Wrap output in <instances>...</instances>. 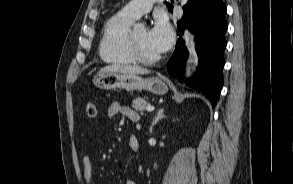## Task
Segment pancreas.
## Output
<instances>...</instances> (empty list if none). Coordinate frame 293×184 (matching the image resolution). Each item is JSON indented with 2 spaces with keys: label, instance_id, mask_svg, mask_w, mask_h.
I'll return each instance as SVG.
<instances>
[{
  "label": "pancreas",
  "instance_id": "1",
  "mask_svg": "<svg viewBox=\"0 0 293 184\" xmlns=\"http://www.w3.org/2000/svg\"><path fill=\"white\" fill-rule=\"evenodd\" d=\"M149 105L150 104L141 97L134 99L132 102V108L139 112L145 110Z\"/></svg>",
  "mask_w": 293,
  "mask_h": 184
}]
</instances>
